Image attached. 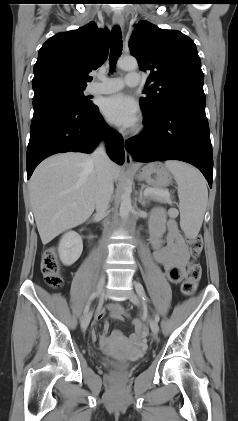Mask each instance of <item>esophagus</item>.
<instances>
[{
    "label": "esophagus",
    "instance_id": "34e87169",
    "mask_svg": "<svg viewBox=\"0 0 238 421\" xmlns=\"http://www.w3.org/2000/svg\"><path fill=\"white\" fill-rule=\"evenodd\" d=\"M113 22H114V24L120 26L121 28H123V26H124V18L120 13L114 14ZM125 143H126V140L124 141V144ZM125 166L129 167V168L134 167L132 156L126 148H125Z\"/></svg>",
    "mask_w": 238,
    "mask_h": 421
}]
</instances>
